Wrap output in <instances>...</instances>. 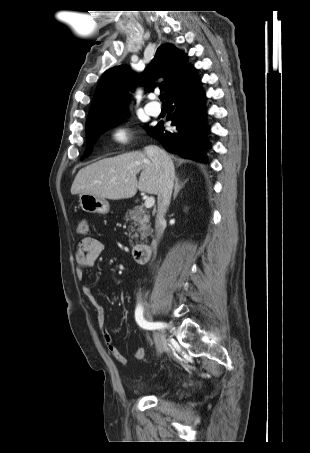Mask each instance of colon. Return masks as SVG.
Returning <instances> with one entry per match:
<instances>
[{"mask_svg":"<svg viewBox=\"0 0 310 453\" xmlns=\"http://www.w3.org/2000/svg\"><path fill=\"white\" fill-rule=\"evenodd\" d=\"M77 233L82 236H86L90 233L89 222L86 218H81L77 224Z\"/></svg>","mask_w":310,"mask_h":453,"instance_id":"colon-1","label":"colon"}]
</instances>
